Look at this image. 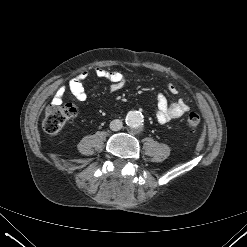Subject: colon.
Wrapping results in <instances>:
<instances>
[{
    "label": "colon",
    "instance_id": "obj_1",
    "mask_svg": "<svg viewBox=\"0 0 247 247\" xmlns=\"http://www.w3.org/2000/svg\"><path fill=\"white\" fill-rule=\"evenodd\" d=\"M77 110L73 104H50L45 111L43 128L48 134L58 133L64 125L73 119ZM201 122L200 115L197 112H190L187 117V125L191 131L197 129Z\"/></svg>",
    "mask_w": 247,
    "mask_h": 247
}]
</instances>
